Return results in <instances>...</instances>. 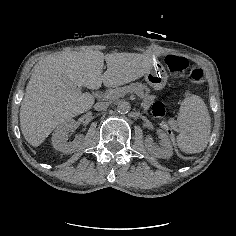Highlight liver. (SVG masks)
I'll return each instance as SVG.
<instances>
[{"label": "liver", "mask_w": 236, "mask_h": 236, "mask_svg": "<svg viewBox=\"0 0 236 236\" xmlns=\"http://www.w3.org/2000/svg\"><path fill=\"white\" fill-rule=\"evenodd\" d=\"M104 61L107 70L103 73ZM143 54L110 53L85 49L53 53L39 60L27 83L20 105L24 139L39 147L55 128L63 126L94 104L95 98L79 87L98 89L103 83L116 87L145 73Z\"/></svg>", "instance_id": "obj_1"}]
</instances>
